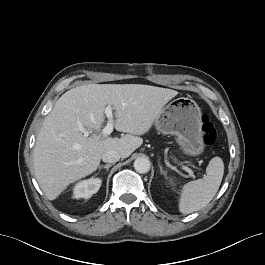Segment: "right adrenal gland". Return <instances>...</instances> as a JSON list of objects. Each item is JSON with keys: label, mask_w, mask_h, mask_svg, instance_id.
I'll use <instances>...</instances> for the list:
<instances>
[{"label": "right adrenal gland", "mask_w": 265, "mask_h": 265, "mask_svg": "<svg viewBox=\"0 0 265 265\" xmlns=\"http://www.w3.org/2000/svg\"><path fill=\"white\" fill-rule=\"evenodd\" d=\"M112 166V164H106V165H100L99 166V171L101 170V169H106L107 171L109 170V168Z\"/></svg>", "instance_id": "1"}]
</instances>
